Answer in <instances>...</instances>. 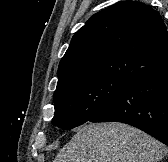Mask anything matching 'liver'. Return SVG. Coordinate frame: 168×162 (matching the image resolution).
<instances>
[{
    "label": "liver",
    "instance_id": "liver-1",
    "mask_svg": "<svg viewBox=\"0 0 168 162\" xmlns=\"http://www.w3.org/2000/svg\"><path fill=\"white\" fill-rule=\"evenodd\" d=\"M166 147L127 124L90 123L77 130L53 162H158Z\"/></svg>",
    "mask_w": 168,
    "mask_h": 162
}]
</instances>
